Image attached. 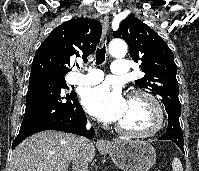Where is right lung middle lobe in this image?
I'll return each instance as SVG.
<instances>
[{
	"label": "right lung middle lobe",
	"mask_w": 199,
	"mask_h": 171,
	"mask_svg": "<svg viewBox=\"0 0 199 171\" xmlns=\"http://www.w3.org/2000/svg\"><path fill=\"white\" fill-rule=\"evenodd\" d=\"M37 79H48L57 82L61 87L67 88L65 84L64 77L60 76H52V75H38V76H31L29 81L37 80Z\"/></svg>",
	"instance_id": "1"
}]
</instances>
